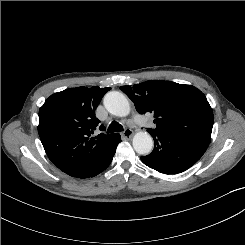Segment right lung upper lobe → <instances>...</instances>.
<instances>
[{"mask_svg":"<svg viewBox=\"0 0 245 245\" xmlns=\"http://www.w3.org/2000/svg\"><path fill=\"white\" fill-rule=\"evenodd\" d=\"M109 90L97 86L66 89L51 95L39 110L38 133L45 152L72 177L97 175L114 149L119 134L92 135L100 122L95 110Z\"/></svg>","mask_w":245,"mask_h":245,"instance_id":"1","label":"right lung upper lobe"}]
</instances>
